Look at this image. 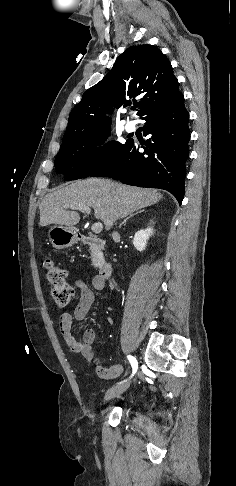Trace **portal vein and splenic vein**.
Here are the masks:
<instances>
[{"label":"portal vein and splenic vein","instance_id":"18ae733b","mask_svg":"<svg viewBox=\"0 0 236 486\" xmlns=\"http://www.w3.org/2000/svg\"><path fill=\"white\" fill-rule=\"evenodd\" d=\"M78 210H80L81 212L83 213H87L89 214L91 211H90V208H77ZM92 231L96 234L100 233L103 229V225L101 222H95L92 227H91Z\"/></svg>","mask_w":236,"mask_h":486}]
</instances>
